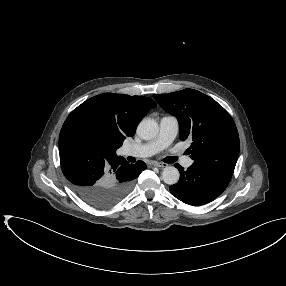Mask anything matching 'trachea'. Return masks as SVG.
<instances>
[{
    "instance_id": "3493384b",
    "label": "trachea",
    "mask_w": 286,
    "mask_h": 286,
    "mask_svg": "<svg viewBox=\"0 0 286 286\" xmlns=\"http://www.w3.org/2000/svg\"><path fill=\"white\" fill-rule=\"evenodd\" d=\"M177 160V157L175 156H169L167 157V163H173Z\"/></svg>"
}]
</instances>
